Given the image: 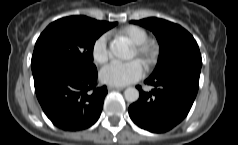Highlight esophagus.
I'll return each instance as SVG.
<instances>
[{"mask_svg": "<svg viewBox=\"0 0 238 145\" xmlns=\"http://www.w3.org/2000/svg\"><path fill=\"white\" fill-rule=\"evenodd\" d=\"M123 89H124V87H114V86H109L108 87L109 91H114V90L121 91Z\"/></svg>", "mask_w": 238, "mask_h": 145, "instance_id": "34e87169", "label": "esophagus"}]
</instances>
